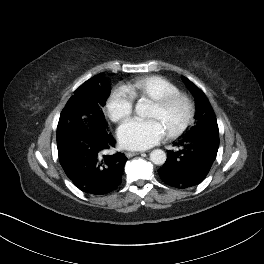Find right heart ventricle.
<instances>
[{"label": "right heart ventricle", "mask_w": 264, "mask_h": 264, "mask_svg": "<svg viewBox=\"0 0 264 264\" xmlns=\"http://www.w3.org/2000/svg\"><path fill=\"white\" fill-rule=\"evenodd\" d=\"M134 99H161L167 95L179 92L178 87L165 77L150 75L139 77L126 86Z\"/></svg>", "instance_id": "e07e8e85"}]
</instances>
